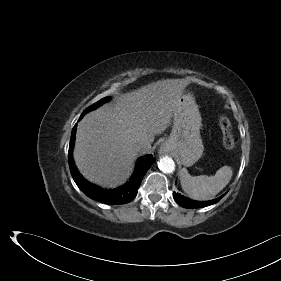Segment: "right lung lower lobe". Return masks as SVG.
<instances>
[{"label":"right lung lower lobe","mask_w":281,"mask_h":281,"mask_svg":"<svg viewBox=\"0 0 281 281\" xmlns=\"http://www.w3.org/2000/svg\"><path fill=\"white\" fill-rule=\"evenodd\" d=\"M83 116L84 115L81 114L79 120ZM76 126L77 124L73 127L71 134L68 152V162L73 179L79 189L91 199L99 201L101 203L117 205L130 202L137 195L138 188L145 173L155 162L153 156L146 155L138 160L134 174L130 178V181L127 182L124 186L113 190L103 189L97 185L88 182L85 178H83L74 164L72 150L75 141Z\"/></svg>","instance_id":"1"}]
</instances>
